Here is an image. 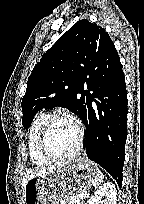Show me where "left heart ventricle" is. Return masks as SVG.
I'll use <instances>...</instances> for the list:
<instances>
[{
	"mask_svg": "<svg viewBox=\"0 0 144 204\" xmlns=\"http://www.w3.org/2000/svg\"><path fill=\"white\" fill-rule=\"evenodd\" d=\"M77 141L78 131L75 123L68 119H59L49 131L47 144L54 155L65 156L75 150Z\"/></svg>",
	"mask_w": 144,
	"mask_h": 204,
	"instance_id": "1",
	"label": "left heart ventricle"
}]
</instances>
